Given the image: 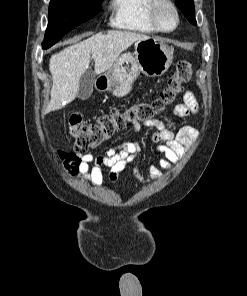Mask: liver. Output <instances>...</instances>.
I'll return each mask as SVG.
<instances>
[{"instance_id":"6515ba94","label":"liver","mask_w":247,"mask_h":296,"mask_svg":"<svg viewBox=\"0 0 247 296\" xmlns=\"http://www.w3.org/2000/svg\"><path fill=\"white\" fill-rule=\"evenodd\" d=\"M148 38L141 33L109 30L106 34L98 33L53 54L49 61L53 84L46 113L65 107L77 97L80 78L89 68L91 58L95 62V73L101 74L110 69L133 43Z\"/></svg>"}]
</instances>
